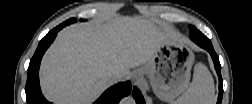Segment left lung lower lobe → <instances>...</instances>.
Returning <instances> with one entry per match:
<instances>
[{"label":"left lung lower lobe","instance_id":"0a47b994","mask_svg":"<svg viewBox=\"0 0 252 104\" xmlns=\"http://www.w3.org/2000/svg\"><path fill=\"white\" fill-rule=\"evenodd\" d=\"M190 38L200 47L206 49L214 62V66L219 78V95H218V101L217 104H220L222 101V96H223V81H222V77H221V65L219 62V58L216 54V52L213 49V46L210 42V40L204 36L199 30L194 31L192 34H190ZM132 95L136 101L137 104H145L144 98L141 94V92L138 90L137 87H134Z\"/></svg>","mask_w":252,"mask_h":104}]
</instances>
